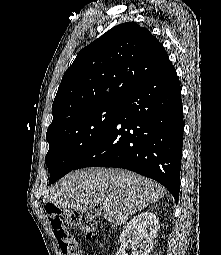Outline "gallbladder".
<instances>
[{"instance_id":"obj_1","label":"gallbladder","mask_w":221,"mask_h":255,"mask_svg":"<svg viewBox=\"0 0 221 255\" xmlns=\"http://www.w3.org/2000/svg\"><path fill=\"white\" fill-rule=\"evenodd\" d=\"M93 214L96 215V216H98V215L101 214V211H100L99 209H94V210H93Z\"/></svg>"}]
</instances>
